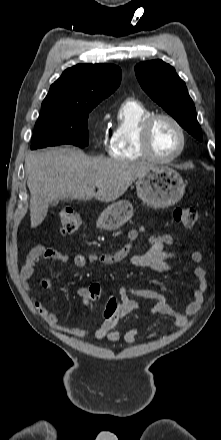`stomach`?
<instances>
[{"instance_id":"0dacf381","label":"stomach","mask_w":221,"mask_h":440,"mask_svg":"<svg viewBox=\"0 0 221 440\" xmlns=\"http://www.w3.org/2000/svg\"><path fill=\"white\" fill-rule=\"evenodd\" d=\"M138 197L153 207H168L177 203L184 195L185 183L180 174L167 166H153L136 182ZM133 215L132 204L119 200L109 205L97 220V227L115 230Z\"/></svg>"}]
</instances>
